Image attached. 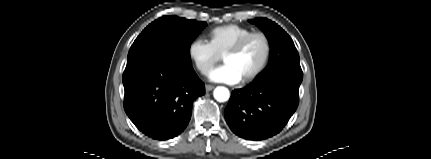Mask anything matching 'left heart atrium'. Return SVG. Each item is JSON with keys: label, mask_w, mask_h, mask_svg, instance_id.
I'll use <instances>...</instances> for the list:
<instances>
[{"label": "left heart atrium", "mask_w": 431, "mask_h": 159, "mask_svg": "<svg viewBox=\"0 0 431 159\" xmlns=\"http://www.w3.org/2000/svg\"><path fill=\"white\" fill-rule=\"evenodd\" d=\"M209 78L213 82L229 85L237 84L242 80L238 72L227 63L212 70Z\"/></svg>", "instance_id": "39dd6f15"}]
</instances>
